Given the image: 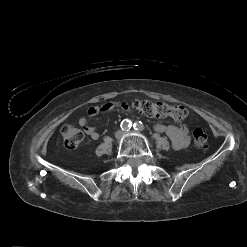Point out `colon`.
Instances as JSON below:
<instances>
[{
	"mask_svg": "<svg viewBox=\"0 0 247 247\" xmlns=\"http://www.w3.org/2000/svg\"><path fill=\"white\" fill-rule=\"evenodd\" d=\"M133 107L149 117L167 118L170 117L175 121H182L188 116V111L181 105H169L163 102H155L146 99H138L133 102ZM61 135L64 146L67 149H75L83 140V133L80 129L64 125L61 128ZM194 144L198 148H204L207 145V135L201 128L193 131Z\"/></svg>",
	"mask_w": 247,
	"mask_h": 247,
	"instance_id": "obj_1",
	"label": "colon"
}]
</instances>
